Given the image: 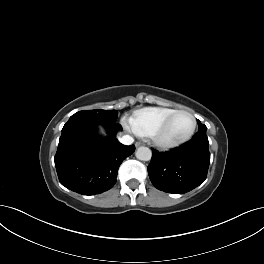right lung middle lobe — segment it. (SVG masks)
Here are the masks:
<instances>
[{
    "mask_svg": "<svg viewBox=\"0 0 264 264\" xmlns=\"http://www.w3.org/2000/svg\"><path fill=\"white\" fill-rule=\"evenodd\" d=\"M118 112L116 110H85L79 111L72 115L70 119L73 118H88L96 121H101L104 123H115L117 119Z\"/></svg>",
    "mask_w": 264,
    "mask_h": 264,
    "instance_id": "obj_1",
    "label": "right lung middle lobe"
}]
</instances>
